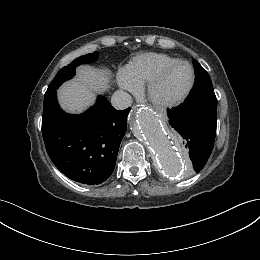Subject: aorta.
Wrapping results in <instances>:
<instances>
[{
	"label": "aorta",
	"mask_w": 260,
	"mask_h": 260,
	"mask_svg": "<svg viewBox=\"0 0 260 260\" xmlns=\"http://www.w3.org/2000/svg\"><path fill=\"white\" fill-rule=\"evenodd\" d=\"M134 135L155 156L162 171L176 176L187 170L188 164L177 136L168 133L160 119L150 109L141 108L131 117Z\"/></svg>",
	"instance_id": "aorta-1"
}]
</instances>
